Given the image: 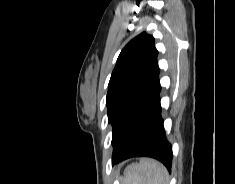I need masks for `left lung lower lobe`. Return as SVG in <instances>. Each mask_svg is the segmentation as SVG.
<instances>
[{
	"label": "left lung lower lobe",
	"mask_w": 235,
	"mask_h": 184,
	"mask_svg": "<svg viewBox=\"0 0 235 184\" xmlns=\"http://www.w3.org/2000/svg\"><path fill=\"white\" fill-rule=\"evenodd\" d=\"M160 91L158 80L155 91L138 116L129 139L112 159V165L130 157L146 156L159 160L171 171L173 153L161 117Z\"/></svg>",
	"instance_id": "left-lung-lower-lobe-1"
}]
</instances>
